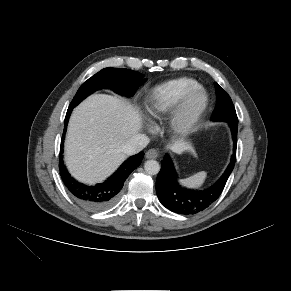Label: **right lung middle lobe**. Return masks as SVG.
<instances>
[{
	"mask_svg": "<svg viewBox=\"0 0 291 291\" xmlns=\"http://www.w3.org/2000/svg\"><path fill=\"white\" fill-rule=\"evenodd\" d=\"M146 80L139 72L123 68H104L84 82L69 107L74 108L83 99L101 88H109L120 95H133Z\"/></svg>",
	"mask_w": 291,
	"mask_h": 291,
	"instance_id": "obj_1",
	"label": "right lung middle lobe"
}]
</instances>
